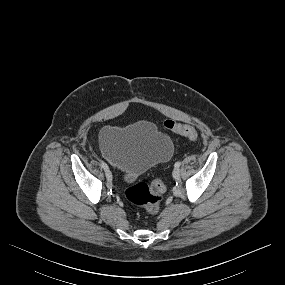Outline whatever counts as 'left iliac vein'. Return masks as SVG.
<instances>
[{"instance_id": "left-iliac-vein-1", "label": "left iliac vein", "mask_w": 285, "mask_h": 285, "mask_svg": "<svg viewBox=\"0 0 285 285\" xmlns=\"http://www.w3.org/2000/svg\"><path fill=\"white\" fill-rule=\"evenodd\" d=\"M172 175H173V178H174L175 180H178V179L180 178V171H179V169H178V168H175V169L173 170Z\"/></svg>"}]
</instances>
